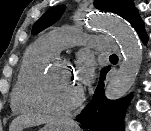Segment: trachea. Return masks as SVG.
<instances>
[{"mask_svg": "<svg viewBox=\"0 0 151 131\" xmlns=\"http://www.w3.org/2000/svg\"><path fill=\"white\" fill-rule=\"evenodd\" d=\"M111 58H118L117 55L113 54L110 56Z\"/></svg>", "mask_w": 151, "mask_h": 131, "instance_id": "3493384b", "label": "trachea"}]
</instances>
